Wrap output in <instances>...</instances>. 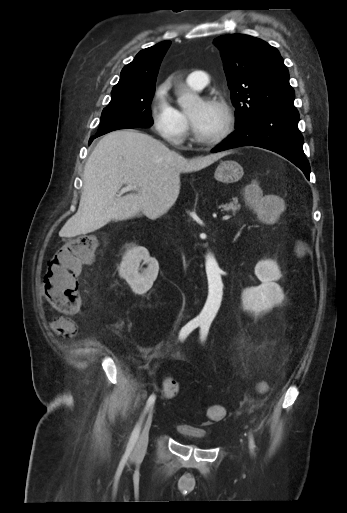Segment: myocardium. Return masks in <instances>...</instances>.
I'll list each match as a JSON object with an SVG mask.
<instances>
[{
	"label": "myocardium",
	"mask_w": 347,
	"mask_h": 513,
	"mask_svg": "<svg viewBox=\"0 0 347 513\" xmlns=\"http://www.w3.org/2000/svg\"><path fill=\"white\" fill-rule=\"evenodd\" d=\"M202 101L206 102V103H212V104L219 106L224 112L225 124H224L222 131L218 135H216L213 138L206 139V138L201 137L197 133V131L194 127V124H193L192 120L190 119L193 138L200 145L215 146V145L219 144L220 142H222L225 138H227L232 133V131L234 129V124H235L234 115L232 113L230 106L224 100L214 99V98H203Z\"/></svg>",
	"instance_id": "obj_1"
}]
</instances>
